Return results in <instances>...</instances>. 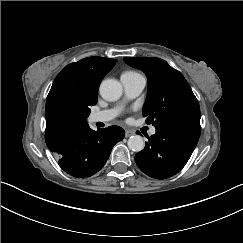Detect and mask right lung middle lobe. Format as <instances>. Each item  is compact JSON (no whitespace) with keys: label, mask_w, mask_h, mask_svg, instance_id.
<instances>
[{"label":"right lung middle lobe","mask_w":243,"mask_h":243,"mask_svg":"<svg viewBox=\"0 0 243 243\" xmlns=\"http://www.w3.org/2000/svg\"><path fill=\"white\" fill-rule=\"evenodd\" d=\"M96 102H83L80 106L75 108L73 110V116L77 119L82 120L83 122H86L87 117L90 114V106L95 105Z\"/></svg>","instance_id":"1"}]
</instances>
